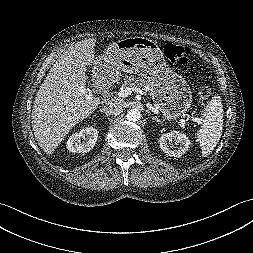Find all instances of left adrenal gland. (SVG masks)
Here are the masks:
<instances>
[{
	"label": "left adrenal gland",
	"instance_id": "obj_1",
	"mask_svg": "<svg viewBox=\"0 0 253 253\" xmlns=\"http://www.w3.org/2000/svg\"><path fill=\"white\" fill-rule=\"evenodd\" d=\"M152 120L156 121V122H159L160 123V120L155 116V117H152Z\"/></svg>",
	"mask_w": 253,
	"mask_h": 253
}]
</instances>
